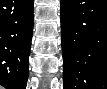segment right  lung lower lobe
I'll return each instance as SVG.
<instances>
[{
	"label": "right lung lower lobe",
	"instance_id": "1",
	"mask_svg": "<svg viewBox=\"0 0 107 89\" xmlns=\"http://www.w3.org/2000/svg\"><path fill=\"white\" fill-rule=\"evenodd\" d=\"M33 33V0H0V84L25 89Z\"/></svg>",
	"mask_w": 107,
	"mask_h": 89
}]
</instances>
